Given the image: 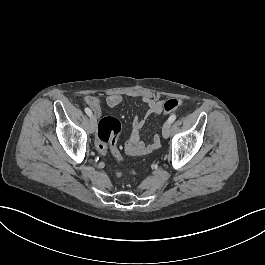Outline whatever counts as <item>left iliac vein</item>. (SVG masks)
<instances>
[{
  "mask_svg": "<svg viewBox=\"0 0 265 265\" xmlns=\"http://www.w3.org/2000/svg\"><path fill=\"white\" fill-rule=\"evenodd\" d=\"M169 134H170V123L167 121L163 125L162 135L164 138H167L169 137Z\"/></svg>",
  "mask_w": 265,
  "mask_h": 265,
  "instance_id": "4c4485c4",
  "label": "left iliac vein"
}]
</instances>
